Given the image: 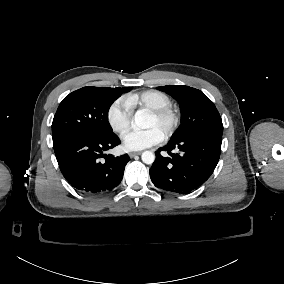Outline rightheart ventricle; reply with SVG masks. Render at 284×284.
<instances>
[{
	"mask_svg": "<svg viewBox=\"0 0 284 284\" xmlns=\"http://www.w3.org/2000/svg\"><path fill=\"white\" fill-rule=\"evenodd\" d=\"M133 106H139L148 110L171 107L172 100L168 94L156 89L143 90L131 97Z\"/></svg>",
	"mask_w": 284,
	"mask_h": 284,
	"instance_id": "1",
	"label": "right heart ventricle"
}]
</instances>
